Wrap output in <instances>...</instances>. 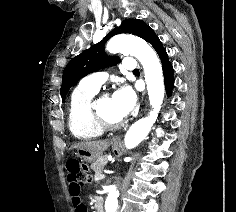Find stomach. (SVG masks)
I'll use <instances>...</instances> for the list:
<instances>
[{"label": "stomach", "mask_w": 236, "mask_h": 212, "mask_svg": "<svg viewBox=\"0 0 236 212\" xmlns=\"http://www.w3.org/2000/svg\"><path fill=\"white\" fill-rule=\"evenodd\" d=\"M112 147L114 150H117L119 148V145L113 142ZM76 155L87 163L95 161L100 156V155H96V154L92 153L91 151L83 149V148L77 149Z\"/></svg>", "instance_id": "obj_1"}]
</instances>
